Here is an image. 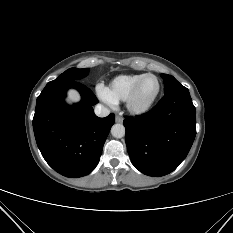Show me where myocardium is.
Here are the masks:
<instances>
[{"label":"myocardium","mask_w":233,"mask_h":233,"mask_svg":"<svg viewBox=\"0 0 233 233\" xmlns=\"http://www.w3.org/2000/svg\"><path fill=\"white\" fill-rule=\"evenodd\" d=\"M148 77H152L157 81V90L155 95L152 97V99L147 102L144 105H138L136 104V96L138 93V90L140 88L141 83ZM161 92V83L158 77L154 74H144L133 86L132 90L130 91L128 97L125 100L126 109L135 116H140L146 114L150 109L154 106L155 102L157 101L159 94Z\"/></svg>","instance_id":"obj_1"}]
</instances>
